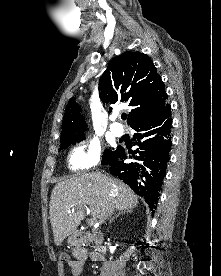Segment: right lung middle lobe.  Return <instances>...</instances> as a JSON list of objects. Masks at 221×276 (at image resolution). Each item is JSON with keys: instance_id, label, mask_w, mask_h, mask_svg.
Here are the masks:
<instances>
[{"instance_id": "dd1d6c3e", "label": "right lung middle lobe", "mask_w": 221, "mask_h": 276, "mask_svg": "<svg viewBox=\"0 0 221 276\" xmlns=\"http://www.w3.org/2000/svg\"><path fill=\"white\" fill-rule=\"evenodd\" d=\"M85 137L82 136V137H77V138H74V139H69V140H66V141H61V148H66L68 147L70 144H73V143H76V142H80L82 140H84ZM117 149H114V150H105L104 153H103V157H102V164H105L108 160L111 159V157L115 154Z\"/></svg>"}]
</instances>
